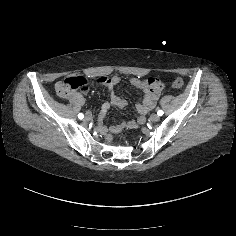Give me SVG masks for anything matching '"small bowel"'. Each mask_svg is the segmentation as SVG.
Listing matches in <instances>:
<instances>
[{
    "label": "small bowel",
    "instance_id": "1",
    "mask_svg": "<svg viewBox=\"0 0 236 236\" xmlns=\"http://www.w3.org/2000/svg\"><path fill=\"white\" fill-rule=\"evenodd\" d=\"M112 80H114V81L117 82V83L119 82V79H118V78H114V79H112ZM100 81L105 82V79H101ZM136 82H139V81L133 80V83H134V84H136ZM110 96H111V102H112V104L117 105V106H119V107L125 106L126 102H125L124 100L118 98V97L115 95V93H114L113 90H111ZM68 97H69V99H70L71 101H73V102H74V101H79V103H81V102L83 101V97H82L81 94H70V95H68ZM156 97H157V94H155L154 97H153L151 100H149V101L145 104L144 107L139 108V112H140L142 115L146 114L150 109H152V107H153L154 104H155ZM137 123H138V121H133V122H131V123L129 124V126H130L131 128H134V127L137 125Z\"/></svg>",
    "mask_w": 236,
    "mask_h": 236
}]
</instances>
